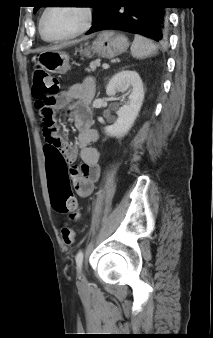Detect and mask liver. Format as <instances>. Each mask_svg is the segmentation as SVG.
<instances>
[{
  "mask_svg": "<svg viewBox=\"0 0 213 338\" xmlns=\"http://www.w3.org/2000/svg\"><path fill=\"white\" fill-rule=\"evenodd\" d=\"M60 48H61V46H54V47H50V48L46 49L45 51L58 50Z\"/></svg>",
  "mask_w": 213,
  "mask_h": 338,
  "instance_id": "liver-1",
  "label": "liver"
}]
</instances>
